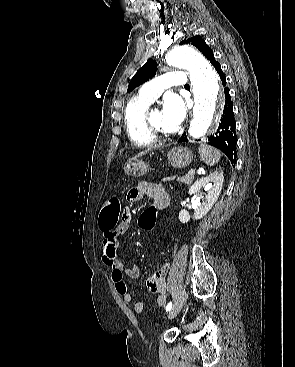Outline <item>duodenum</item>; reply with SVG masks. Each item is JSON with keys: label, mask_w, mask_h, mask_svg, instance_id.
Returning <instances> with one entry per match:
<instances>
[{"label": "duodenum", "mask_w": 295, "mask_h": 367, "mask_svg": "<svg viewBox=\"0 0 295 367\" xmlns=\"http://www.w3.org/2000/svg\"><path fill=\"white\" fill-rule=\"evenodd\" d=\"M157 206H158L159 208H162V207H164V206H165V204L160 202V203H158V204H157Z\"/></svg>", "instance_id": "1"}]
</instances>
